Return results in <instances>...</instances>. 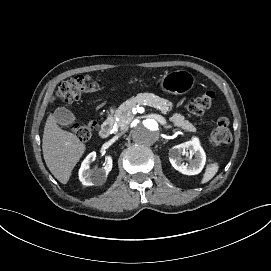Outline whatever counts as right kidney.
<instances>
[{
	"label": "right kidney",
	"mask_w": 271,
	"mask_h": 271,
	"mask_svg": "<svg viewBox=\"0 0 271 271\" xmlns=\"http://www.w3.org/2000/svg\"><path fill=\"white\" fill-rule=\"evenodd\" d=\"M96 159V153L91 152L83 160L78 171L79 180L85 186L101 185L105 182L109 171L112 168V161L109 159L103 168L98 170H90V163Z\"/></svg>",
	"instance_id": "1"
}]
</instances>
